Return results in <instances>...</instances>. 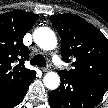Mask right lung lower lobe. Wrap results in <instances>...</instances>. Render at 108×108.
<instances>
[{
    "instance_id": "98d812e1",
    "label": "right lung lower lobe",
    "mask_w": 108,
    "mask_h": 108,
    "mask_svg": "<svg viewBox=\"0 0 108 108\" xmlns=\"http://www.w3.org/2000/svg\"><path fill=\"white\" fill-rule=\"evenodd\" d=\"M34 78L35 74L17 88L0 92V108H13L21 103Z\"/></svg>"
}]
</instances>
